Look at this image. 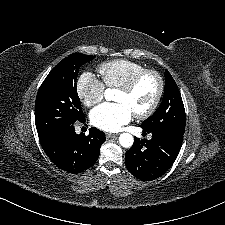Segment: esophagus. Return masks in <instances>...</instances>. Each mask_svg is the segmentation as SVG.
<instances>
[{"instance_id": "obj_1", "label": "esophagus", "mask_w": 225, "mask_h": 225, "mask_svg": "<svg viewBox=\"0 0 225 225\" xmlns=\"http://www.w3.org/2000/svg\"><path fill=\"white\" fill-rule=\"evenodd\" d=\"M117 134H113V133H106V138H111V137H116Z\"/></svg>"}]
</instances>
